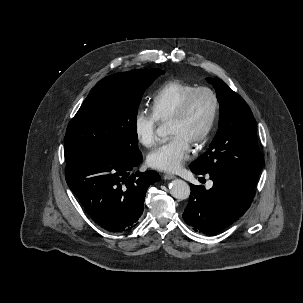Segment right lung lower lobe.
<instances>
[{
  "mask_svg": "<svg viewBox=\"0 0 303 303\" xmlns=\"http://www.w3.org/2000/svg\"><path fill=\"white\" fill-rule=\"evenodd\" d=\"M142 161L126 160L93 148L66 160L65 178L85 212L111 232L134 228L144 209L148 187L159 181L154 171L129 176Z\"/></svg>",
  "mask_w": 303,
  "mask_h": 303,
  "instance_id": "98d812e1",
  "label": "right lung lower lobe"
}]
</instances>
